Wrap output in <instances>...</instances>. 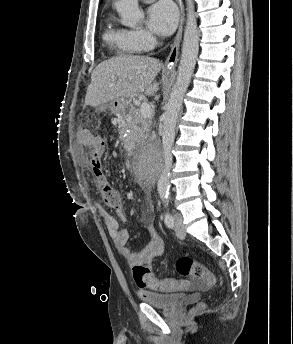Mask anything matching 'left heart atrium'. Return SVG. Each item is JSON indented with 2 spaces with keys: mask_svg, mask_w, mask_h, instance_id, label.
Instances as JSON below:
<instances>
[{
  "mask_svg": "<svg viewBox=\"0 0 293 344\" xmlns=\"http://www.w3.org/2000/svg\"><path fill=\"white\" fill-rule=\"evenodd\" d=\"M177 24V10L169 0H161L149 7L147 11V26L154 33L170 35Z\"/></svg>",
  "mask_w": 293,
  "mask_h": 344,
  "instance_id": "obj_1",
  "label": "left heart atrium"
}]
</instances>
